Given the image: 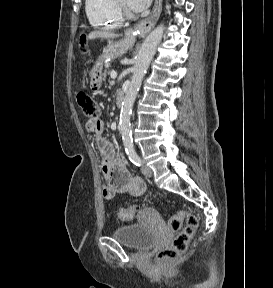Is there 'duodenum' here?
Returning <instances> with one entry per match:
<instances>
[{
	"label": "duodenum",
	"mask_w": 273,
	"mask_h": 288,
	"mask_svg": "<svg viewBox=\"0 0 273 288\" xmlns=\"http://www.w3.org/2000/svg\"><path fill=\"white\" fill-rule=\"evenodd\" d=\"M125 102V94L122 91L117 92L116 94V103L122 105Z\"/></svg>",
	"instance_id": "410a0bca"
}]
</instances>
